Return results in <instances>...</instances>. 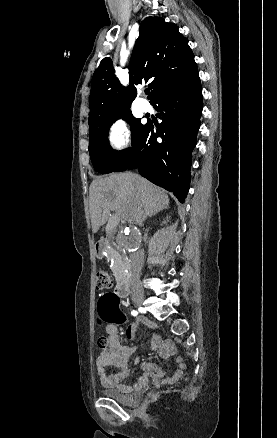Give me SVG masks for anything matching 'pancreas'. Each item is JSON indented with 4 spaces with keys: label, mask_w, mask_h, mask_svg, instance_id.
I'll return each instance as SVG.
<instances>
[{
    "label": "pancreas",
    "mask_w": 277,
    "mask_h": 438,
    "mask_svg": "<svg viewBox=\"0 0 277 438\" xmlns=\"http://www.w3.org/2000/svg\"><path fill=\"white\" fill-rule=\"evenodd\" d=\"M115 231H106L96 240V244H101V253H109L107 256L109 270H122L125 265L123 252L118 251V246L115 244Z\"/></svg>",
    "instance_id": "obj_1"
}]
</instances>
